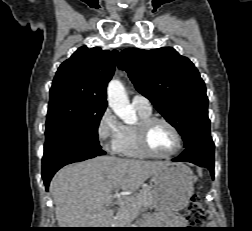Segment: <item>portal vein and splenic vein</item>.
Returning a JSON list of instances; mask_svg holds the SVG:
<instances>
[{
	"instance_id": "obj_1",
	"label": "portal vein and splenic vein",
	"mask_w": 252,
	"mask_h": 231,
	"mask_svg": "<svg viewBox=\"0 0 252 231\" xmlns=\"http://www.w3.org/2000/svg\"><path fill=\"white\" fill-rule=\"evenodd\" d=\"M115 197L114 196H109L106 200H105V205L109 206L113 203V199ZM129 201V198H126L125 202L127 203ZM119 204H123V202H119Z\"/></svg>"
}]
</instances>
